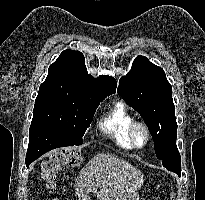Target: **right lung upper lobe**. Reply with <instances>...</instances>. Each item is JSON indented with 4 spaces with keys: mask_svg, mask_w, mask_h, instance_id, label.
I'll list each match as a JSON object with an SVG mask.
<instances>
[{
    "mask_svg": "<svg viewBox=\"0 0 205 200\" xmlns=\"http://www.w3.org/2000/svg\"><path fill=\"white\" fill-rule=\"evenodd\" d=\"M45 82L62 83L82 90L95 99H104L116 91V81L109 76L97 79L88 74L81 52L67 49L50 65Z\"/></svg>",
    "mask_w": 205,
    "mask_h": 200,
    "instance_id": "1",
    "label": "right lung upper lobe"
}]
</instances>
